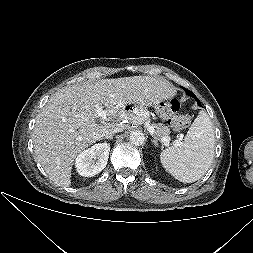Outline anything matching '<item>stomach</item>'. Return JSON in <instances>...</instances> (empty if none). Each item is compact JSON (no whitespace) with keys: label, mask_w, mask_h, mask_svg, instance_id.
I'll return each mask as SVG.
<instances>
[{"label":"stomach","mask_w":253,"mask_h":253,"mask_svg":"<svg viewBox=\"0 0 253 253\" xmlns=\"http://www.w3.org/2000/svg\"><path fill=\"white\" fill-rule=\"evenodd\" d=\"M121 109L125 114H130L134 111H139L142 114H149L150 111H156L160 118H165L167 116L168 102L165 100H160L158 104L156 102H149L148 105L140 100H125L121 102Z\"/></svg>","instance_id":"obj_1"}]
</instances>
